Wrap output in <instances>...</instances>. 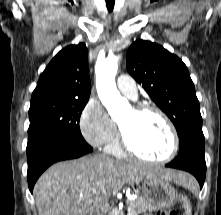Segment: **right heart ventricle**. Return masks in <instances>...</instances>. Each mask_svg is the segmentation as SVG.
<instances>
[{
	"label": "right heart ventricle",
	"mask_w": 221,
	"mask_h": 215,
	"mask_svg": "<svg viewBox=\"0 0 221 215\" xmlns=\"http://www.w3.org/2000/svg\"><path fill=\"white\" fill-rule=\"evenodd\" d=\"M106 149L109 153H111L117 157H124L125 156V153L123 152V150L120 146V142L118 140L117 135L109 144H107Z\"/></svg>",
	"instance_id": "obj_1"
}]
</instances>
